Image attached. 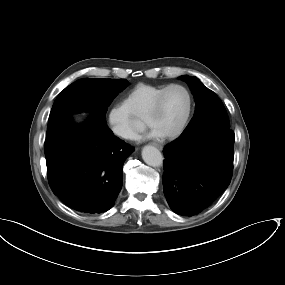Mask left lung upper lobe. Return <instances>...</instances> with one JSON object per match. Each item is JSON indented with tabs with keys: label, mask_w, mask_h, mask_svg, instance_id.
<instances>
[{
	"label": "left lung upper lobe",
	"mask_w": 285,
	"mask_h": 285,
	"mask_svg": "<svg viewBox=\"0 0 285 285\" xmlns=\"http://www.w3.org/2000/svg\"><path fill=\"white\" fill-rule=\"evenodd\" d=\"M184 80L195 97L196 106L194 116L183 133L203 126L230 128L228 115L219 97L196 77H188Z\"/></svg>",
	"instance_id": "left-lung-upper-lobe-1"
}]
</instances>
